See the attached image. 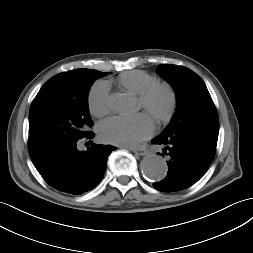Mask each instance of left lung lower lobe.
Returning a JSON list of instances; mask_svg holds the SVG:
<instances>
[{"instance_id": "1", "label": "left lung lower lobe", "mask_w": 253, "mask_h": 253, "mask_svg": "<svg viewBox=\"0 0 253 253\" xmlns=\"http://www.w3.org/2000/svg\"><path fill=\"white\" fill-rule=\"evenodd\" d=\"M218 133L219 124L206 122L154 138L152 143L163 145V154L169 156L168 174L162 181L154 183V188L174 192L196 183L212 163Z\"/></svg>"}]
</instances>
